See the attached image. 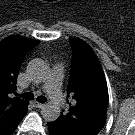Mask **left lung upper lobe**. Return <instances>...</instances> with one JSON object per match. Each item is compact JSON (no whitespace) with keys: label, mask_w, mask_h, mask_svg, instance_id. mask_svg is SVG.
Wrapping results in <instances>:
<instances>
[{"label":"left lung upper lobe","mask_w":135,"mask_h":135,"mask_svg":"<svg viewBox=\"0 0 135 135\" xmlns=\"http://www.w3.org/2000/svg\"><path fill=\"white\" fill-rule=\"evenodd\" d=\"M69 41L73 54L67 97L74 95L75 101L55 122L77 135H97L106 121V79L92 48L80 39Z\"/></svg>","instance_id":"1"}]
</instances>
